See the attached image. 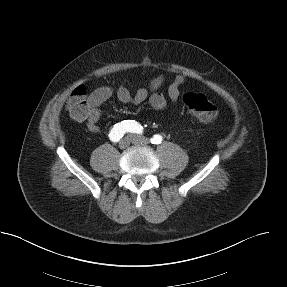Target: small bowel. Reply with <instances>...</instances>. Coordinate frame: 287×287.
Wrapping results in <instances>:
<instances>
[{
	"instance_id": "obj_1",
	"label": "small bowel",
	"mask_w": 287,
	"mask_h": 287,
	"mask_svg": "<svg viewBox=\"0 0 287 287\" xmlns=\"http://www.w3.org/2000/svg\"><path fill=\"white\" fill-rule=\"evenodd\" d=\"M186 76L177 75L167 89V96L176 103L180 96V88L185 83ZM164 82V77L159 75L155 77L148 88H140L135 93H131L126 87L120 86L116 90L117 98L124 103L139 104L148 101L150 106L157 110L163 111L167 108L166 96L160 92V88ZM114 94L112 88L103 86L95 89L89 95V115L84 120L88 130L92 133H99V120L101 118V106Z\"/></svg>"
}]
</instances>
